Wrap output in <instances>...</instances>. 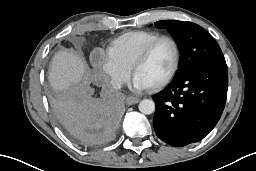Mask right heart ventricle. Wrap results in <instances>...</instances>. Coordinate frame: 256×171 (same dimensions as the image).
<instances>
[{
	"label": "right heart ventricle",
	"mask_w": 256,
	"mask_h": 171,
	"mask_svg": "<svg viewBox=\"0 0 256 171\" xmlns=\"http://www.w3.org/2000/svg\"><path fill=\"white\" fill-rule=\"evenodd\" d=\"M160 34L154 31L134 30L114 39L107 48V53L120 64L130 69L141 50Z\"/></svg>",
	"instance_id": "obj_1"
}]
</instances>
